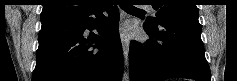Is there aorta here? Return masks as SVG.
<instances>
[{
  "label": "aorta",
  "instance_id": "obj_1",
  "mask_svg": "<svg viewBox=\"0 0 237 81\" xmlns=\"http://www.w3.org/2000/svg\"><path fill=\"white\" fill-rule=\"evenodd\" d=\"M123 80H124V81H128V80H129V75H128L127 72H124V74H123Z\"/></svg>",
  "mask_w": 237,
  "mask_h": 81
}]
</instances>
